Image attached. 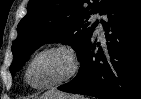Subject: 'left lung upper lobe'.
Returning a JSON list of instances; mask_svg holds the SVG:
<instances>
[{"instance_id":"1","label":"left lung upper lobe","mask_w":141,"mask_h":99,"mask_svg":"<svg viewBox=\"0 0 141 99\" xmlns=\"http://www.w3.org/2000/svg\"><path fill=\"white\" fill-rule=\"evenodd\" d=\"M116 0H30L27 15L18 24V37L12 46V76L30 55L45 43L71 45L80 59L91 42L94 28L85 21L95 13L104 14Z\"/></svg>"}]
</instances>
